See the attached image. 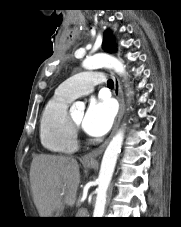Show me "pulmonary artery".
<instances>
[{
  "label": "pulmonary artery",
  "instance_id": "obj_1",
  "mask_svg": "<svg viewBox=\"0 0 181 227\" xmlns=\"http://www.w3.org/2000/svg\"><path fill=\"white\" fill-rule=\"evenodd\" d=\"M103 82L104 77L100 72H84L61 83L56 92L73 100L88 95L94 90L95 85Z\"/></svg>",
  "mask_w": 181,
  "mask_h": 227
}]
</instances>
